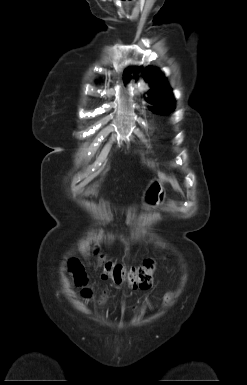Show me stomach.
<instances>
[{"label":"stomach","instance_id":"1","mask_svg":"<svg viewBox=\"0 0 247 385\" xmlns=\"http://www.w3.org/2000/svg\"><path fill=\"white\" fill-rule=\"evenodd\" d=\"M166 192L161 182L154 180L146 188L143 194V204L150 208H155L165 200Z\"/></svg>","mask_w":247,"mask_h":385}]
</instances>
